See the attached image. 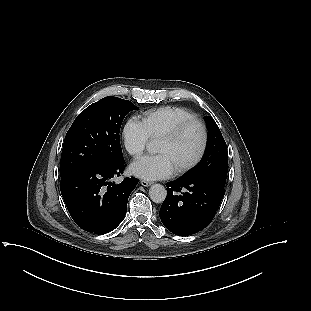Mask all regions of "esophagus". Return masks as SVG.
I'll use <instances>...</instances> for the list:
<instances>
[{
  "instance_id": "1",
  "label": "esophagus",
  "mask_w": 311,
  "mask_h": 311,
  "mask_svg": "<svg viewBox=\"0 0 311 311\" xmlns=\"http://www.w3.org/2000/svg\"><path fill=\"white\" fill-rule=\"evenodd\" d=\"M140 184L144 187H148L152 184V182L146 181V180H141Z\"/></svg>"
}]
</instances>
